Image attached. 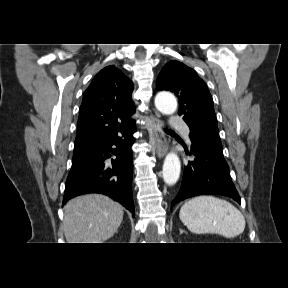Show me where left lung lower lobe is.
<instances>
[{"label":"left lung lower lobe","instance_id":"0a47b994","mask_svg":"<svg viewBox=\"0 0 288 288\" xmlns=\"http://www.w3.org/2000/svg\"><path fill=\"white\" fill-rule=\"evenodd\" d=\"M190 138L192 145L189 154L195 159L189 161L184 169L181 188L172 201L171 208L175 203L202 194H220L240 203V196L232 182L223 150L200 138Z\"/></svg>","mask_w":288,"mask_h":288}]
</instances>
